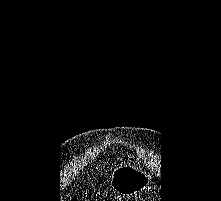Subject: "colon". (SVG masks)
Returning a JSON list of instances; mask_svg holds the SVG:
<instances>
[{
    "instance_id": "1",
    "label": "colon",
    "mask_w": 221,
    "mask_h": 201,
    "mask_svg": "<svg viewBox=\"0 0 221 201\" xmlns=\"http://www.w3.org/2000/svg\"><path fill=\"white\" fill-rule=\"evenodd\" d=\"M68 201H78L76 198H70Z\"/></svg>"
}]
</instances>
